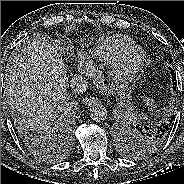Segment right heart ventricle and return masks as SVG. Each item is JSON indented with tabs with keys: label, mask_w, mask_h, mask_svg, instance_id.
<instances>
[{
	"label": "right heart ventricle",
	"mask_w": 184,
	"mask_h": 184,
	"mask_svg": "<svg viewBox=\"0 0 184 184\" xmlns=\"http://www.w3.org/2000/svg\"><path fill=\"white\" fill-rule=\"evenodd\" d=\"M132 47H134V42L129 38L114 36L95 46L89 56L95 61L110 62Z\"/></svg>",
	"instance_id": "e07e8e85"
}]
</instances>
